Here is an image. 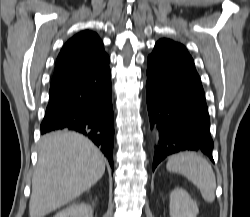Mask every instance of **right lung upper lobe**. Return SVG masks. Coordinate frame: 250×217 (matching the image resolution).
Masks as SVG:
<instances>
[{
  "instance_id": "obj_1",
  "label": "right lung upper lobe",
  "mask_w": 250,
  "mask_h": 217,
  "mask_svg": "<svg viewBox=\"0 0 250 217\" xmlns=\"http://www.w3.org/2000/svg\"><path fill=\"white\" fill-rule=\"evenodd\" d=\"M107 57L96 33L87 30L76 34L58 55L50 87L87 73Z\"/></svg>"
}]
</instances>
